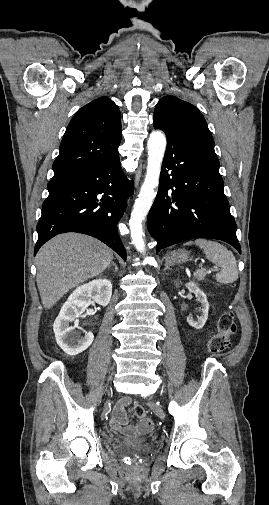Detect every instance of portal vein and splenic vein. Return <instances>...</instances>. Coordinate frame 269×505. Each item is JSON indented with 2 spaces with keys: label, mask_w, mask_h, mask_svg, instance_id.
Masks as SVG:
<instances>
[{
  "label": "portal vein and splenic vein",
  "mask_w": 269,
  "mask_h": 505,
  "mask_svg": "<svg viewBox=\"0 0 269 505\" xmlns=\"http://www.w3.org/2000/svg\"><path fill=\"white\" fill-rule=\"evenodd\" d=\"M199 267H202V264H200ZM216 270H217V268H216Z\"/></svg>",
  "instance_id": "18ae733b"
}]
</instances>
